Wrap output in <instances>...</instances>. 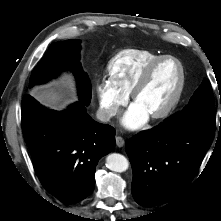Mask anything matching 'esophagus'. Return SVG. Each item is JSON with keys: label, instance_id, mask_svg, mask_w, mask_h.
Returning a JSON list of instances; mask_svg holds the SVG:
<instances>
[{"label": "esophagus", "instance_id": "34e87169", "mask_svg": "<svg viewBox=\"0 0 221 221\" xmlns=\"http://www.w3.org/2000/svg\"><path fill=\"white\" fill-rule=\"evenodd\" d=\"M115 140H116V145L118 147H123L124 146L125 141H124V139L122 137L116 136Z\"/></svg>", "mask_w": 221, "mask_h": 221}]
</instances>
